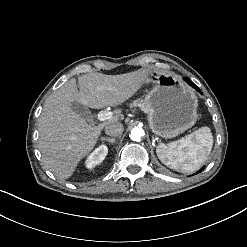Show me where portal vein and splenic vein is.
<instances>
[{"label":"portal vein and splenic vein","instance_id":"18ae733b","mask_svg":"<svg viewBox=\"0 0 247 247\" xmlns=\"http://www.w3.org/2000/svg\"><path fill=\"white\" fill-rule=\"evenodd\" d=\"M113 113L109 111H100L97 115L99 121H105L112 118Z\"/></svg>","mask_w":247,"mask_h":247}]
</instances>
